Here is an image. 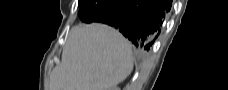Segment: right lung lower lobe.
Wrapping results in <instances>:
<instances>
[{"mask_svg":"<svg viewBox=\"0 0 228 90\" xmlns=\"http://www.w3.org/2000/svg\"><path fill=\"white\" fill-rule=\"evenodd\" d=\"M172 0H97L84 8L83 22H101L118 29L145 55L158 36Z\"/></svg>","mask_w":228,"mask_h":90,"instance_id":"98d812e1","label":"right lung lower lobe"}]
</instances>
